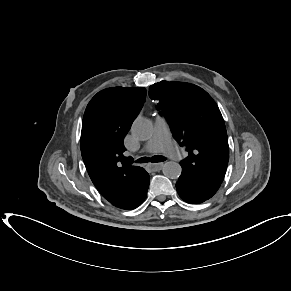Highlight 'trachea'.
<instances>
[{
  "mask_svg": "<svg viewBox=\"0 0 291 291\" xmlns=\"http://www.w3.org/2000/svg\"><path fill=\"white\" fill-rule=\"evenodd\" d=\"M163 161H165V158L160 155L153 156L152 158L141 157L137 160L138 163H147V162L157 163V162H163Z\"/></svg>",
  "mask_w": 291,
  "mask_h": 291,
  "instance_id": "3493384b",
  "label": "trachea"
}]
</instances>
